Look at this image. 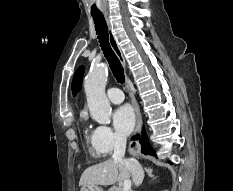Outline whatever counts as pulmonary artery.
I'll return each mask as SVG.
<instances>
[{
  "instance_id": "e3ab8cb5",
  "label": "pulmonary artery",
  "mask_w": 233,
  "mask_h": 191,
  "mask_svg": "<svg viewBox=\"0 0 233 191\" xmlns=\"http://www.w3.org/2000/svg\"><path fill=\"white\" fill-rule=\"evenodd\" d=\"M107 97L114 104H119L123 102L124 100L123 92L119 88H116V87H112L108 89Z\"/></svg>"
}]
</instances>
